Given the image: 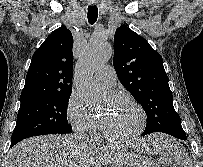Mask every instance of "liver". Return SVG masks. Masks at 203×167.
Returning a JSON list of instances; mask_svg holds the SVG:
<instances>
[{"instance_id": "6515ba94", "label": "liver", "mask_w": 203, "mask_h": 167, "mask_svg": "<svg viewBox=\"0 0 203 167\" xmlns=\"http://www.w3.org/2000/svg\"><path fill=\"white\" fill-rule=\"evenodd\" d=\"M125 154L121 147H96L72 135L36 136L10 149L6 167H102L116 165Z\"/></svg>"}]
</instances>
